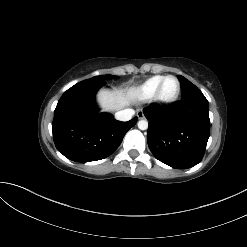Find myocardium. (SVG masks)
<instances>
[{"mask_svg": "<svg viewBox=\"0 0 247 247\" xmlns=\"http://www.w3.org/2000/svg\"><path fill=\"white\" fill-rule=\"evenodd\" d=\"M170 78H172V79H174L176 81L177 89H176V92L174 93L173 96H171L169 98H165L162 95V89H163V86H164L165 82ZM180 93H181V83H180L179 79L176 76L168 75V76L164 77V79L161 81L160 85L158 86V89H157V91H156V93L154 95V99L159 104L171 105V104L175 103L178 100V98L180 96Z\"/></svg>", "mask_w": 247, "mask_h": 247, "instance_id": "obj_1", "label": "myocardium"}]
</instances>
